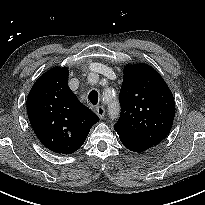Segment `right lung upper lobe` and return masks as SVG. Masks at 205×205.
I'll use <instances>...</instances> for the list:
<instances>
[{"instance_id":"right-lung-upper-lobe-1","label":"right lung upper lobe","mask_w":205,"mask_h":205,"mask_svg":"<svg viewBox=\"0 0 205 205\" xmlns=\"http://www.w3.org/2000/svg\"><path fill=\"white\" fill-rule=\"evenodd\" d=\"M30 124L40 142L58 154H72L99 118L68 86V69L53 68L34 83L27 98Z\"/></svg>"}]
</instances>
